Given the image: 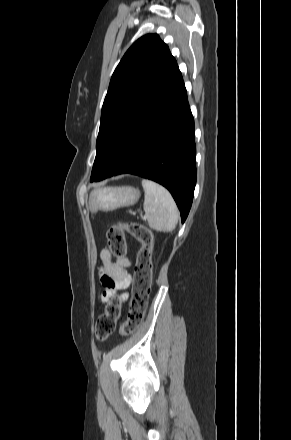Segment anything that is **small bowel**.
<instances>
[{
    "instance_id": "small-bowel-1",
    "label": "small bowel",
    "mask_w": 291,
    "mask_h": 440,
    "mask_svg": "<svg viewBox=\"0 0 291 440\" xmlns=\"http://www.w3.org/2000/svg\"><path fill=\"white\" fill-rule=\"evenodd\" d=\"M102 261L101 276L104 284L107 283V278H113L116 285L120 289H126L131 283V277L125 272L124 268L130 266V261L127 258L112 260L109 250L102 249L100 253ZM112 296L110 291H106L103 300H107ZM128 298V294L124 293L120 296V301L124 302Z\"/></svg>"
}]
</instances>
